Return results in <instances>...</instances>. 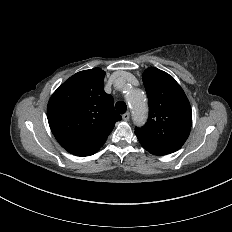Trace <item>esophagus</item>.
<instances>
[{
	"label": "esophagus",
	"instance_id": "1",
	"mask_svg": "<svg viewBox=\"0 0 232 232\" xmlns=\"http://www.w3.org/2000/svg\"><path fill=\"white\" fill-rule=\"evenodd\" d=\"M122 118H123L124 121H128L129 118H130V113L129 112L124 113Z\"/></svg>",
	"mask_w": 232,
	"mask_h": 232
}]
</instances>
